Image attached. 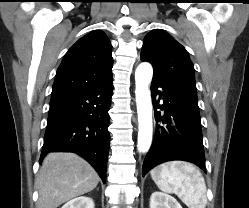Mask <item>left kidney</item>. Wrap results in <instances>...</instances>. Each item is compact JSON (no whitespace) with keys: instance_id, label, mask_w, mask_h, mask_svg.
<instances>
[{"instance_id":"left-kidney-1","label":"left kidney","mask_w":249,"mask_h":208,"mask_svg":"<svg viewBox=\"0 0 249 208\" xmlns=\"http://www.w3.org/2000/svg\"><path fill=\"white\" fill-rule=\"evenodd\" d=\"M150 208H182V206L171 195L155 191L150 197Z\"/></svg>"}]
</instances>
